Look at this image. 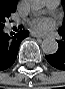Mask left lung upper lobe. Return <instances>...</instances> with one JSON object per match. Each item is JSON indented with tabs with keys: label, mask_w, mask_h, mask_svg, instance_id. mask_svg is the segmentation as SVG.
I'll list each match as a JSON object with an SVG mask.
<instances>
[{
	"label": "left lung upper lobe",
	"mask_w": 65,
	"mask_h": 89,
	"mask_svg": "<svg viewBox=\"0 0 65 89\" xmlns=\"http://www.w3.org/2000/svg\"><path fill=\"white\" fill-rule=\"evenodd\" d=\"M59 33L60 34H65V21H64V24L60 27Z\"/></svg>",
	"instance_id": "obj_1"
}]
</instances>
